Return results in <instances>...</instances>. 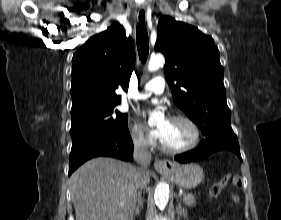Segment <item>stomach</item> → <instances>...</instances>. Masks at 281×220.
<instances>
[{"instance_id": "obj_1", "label": "stomach", "mask_w": 281, "mask_h": 220, "mask_svg": "<svg viewBox=\"0 0 281 220\" xmlns=\"http://www.w3.org/2000/svg\"><path fill=\"white\" fill-rule=\"evenodd\" d=\"M162 174L169 176L178 186L185 189L196 187L204 178L203 169L194 163H173L171 169Z\"/></svg>"}]
</instances>
